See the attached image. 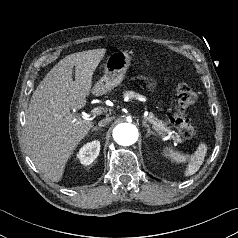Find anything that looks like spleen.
Here are the masks:
<instances>
[{"label":"spleen","instance_id":"3e777b00","mask_svg":"<svg viewBox=\"0 0 238 238\" xmlns=\"http://www.w3.org/2000/svg\"><path fill=\"white\" fill-rule=\"evenodd\" d=\"M164 153L173 161L185 162L186 160H188L189 163L185 172V176H190L195 174L199 170L200 166L203 164L205 155L207 153V146L204 143L199 144L197 150L191 156H186L181 153L175 152L170 147H166L164 149Z\"/></svg>","mask_w":238,"mask_h":238}]
</instances>
